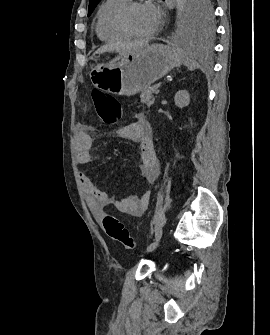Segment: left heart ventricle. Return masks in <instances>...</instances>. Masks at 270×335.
<instances>
[{
    "instance_id": "1",
    "label": "left heart ventricle",
    "mask_w": 270,
    "mask_h": 335,
    "mask_svg": "<svg viewBox=\"0 0 270 335\" xmlns=\"http://www.w3.org/2000/svg\"><path fill=\"white\" fill-rule=\"evenodd\" d=\"M127 24L134 34L143 35L146 33L147 22L141 7H136L129 13Z\"/></svg>"
}]
</instances>
